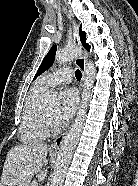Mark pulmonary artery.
<instances>
[{"mask_svg":"<svg viewBox=\"0 0 138 186\" xmlns=\"http://www.w3.org/2000/svg\"><path fill=\"white\" fill-rule=\"evenodd\" d=\"M74 77L73 69L69 67H64L58 70H55L47 75H45L41 82L48 88L55 87L61 84H67L72 81Z\"/></svg>","mask_w":138,"mask_h":186,"instance_id":"1","label":"pulmonary artery"}]
</instances>
